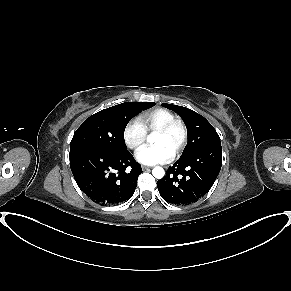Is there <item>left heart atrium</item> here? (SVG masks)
<instances>
[{"mask_svg":"<svg viewBox=\"0 0 291 291\" xmlns=\"http://www.w3.org/2000/svg\"><path fill=\"white\" fill-rule=\"evenodd\" d=\"M173 156V151L161 144L144 145L135 153L136 159L145 165L166 163L171 161Z\"/></svg>","mask_w":291,"mask_h":291,"instance_id":"obj_1","label":"left heart atrium"}]
</instances>
